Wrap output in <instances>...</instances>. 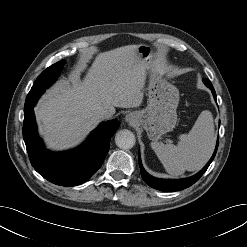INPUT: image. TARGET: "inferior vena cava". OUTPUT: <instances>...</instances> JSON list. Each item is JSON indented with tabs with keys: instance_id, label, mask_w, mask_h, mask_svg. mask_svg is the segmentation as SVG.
<instances>
[{
	"instance_id": "1",
	"label": "inferior vena cava",
	"mask_w": 247,
	"mask_h": 247,
	"mask_svg": "<svg viewBox=\"0 0 247 247\" xmlns=\"http://www.w3.org/2000/svg\"><path fill=\"white\" fill-rule=\"evenodd\" d=\"M97 115L102 120L109 119L111 117V113L108 110H100Z\"/></svg>"
}]
</instances>
